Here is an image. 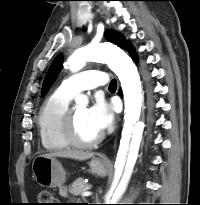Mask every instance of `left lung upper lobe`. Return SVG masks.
I'll use <instances>...</instances> for the list:
<instances>
[{"label": "left lung upper lobe", "mask_w": 200, "mask_h": 205, "mask_svg": "<svg viewBox=\"0 0 200 205\" xmlns=\"http://www.w3.org/2000/svg\"><path fill=\"white\" fill-rule=\"evenodd\" d=\"M106 37L109 39V41H111L112 43H114L122 48H124L125 45L128 43L127 41H125V38L117 32L107 31ZM61 68H62V55L59 54L54 59L53 63L51 64V66H50V68L45 76V79H44L43 85H42V90H41L42 96H44L47 93L50 86L56 80Z\"/></svg>", "instance_id": "1"}]
</instances>
